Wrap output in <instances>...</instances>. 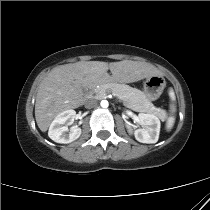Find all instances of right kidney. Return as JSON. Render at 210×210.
<instances>
[{
  "mask_svg": "<svg viewBox=\"0 0 210 210\" xmlns=\"http://www.w3.org/2000/svg\"><path fill=\"white\" fill-rule=\"evenodd\" d=\"M76 112L74 110H66L56 116L49 127L48 136L57 143H71L78 139L81 135V128L71 127L68 129L66 123L70 124L74 121Z\"/></svg>",
  "mask_w": 210,
  "mask_h": 210,
  "instance_id": "1",
  "label": "right kidney"
}]
</instances>
